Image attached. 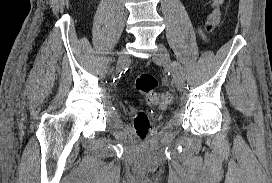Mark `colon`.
Returning a JSON list of instances; mask_svg holds the SVG:
<instances>
[{"mask_svg": "<svg viewBox=\"0 0 272 183\" xmlns=\"http://www.w3.org/2000/svg\"><path fill=\"white\" fill-rule=\"evenodd\" d=\"M158 81L150 73H141L135 79V88L143 94L150 104L166 105L171 101L168 93H157ZM150 122L145 113L140 112L134 120V130L141 141H145L149 134Z\"/></svg>", "mask_w": 272, "mask_h": 183, "instance_id": "colon-1", "label": "colon"}]
</instances>
